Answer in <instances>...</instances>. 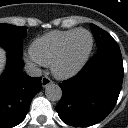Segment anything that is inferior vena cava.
I'll return each mask as SVG.
<instances>
[{"label": "inferior vena cava", "mask_w": 128, "mask_h": 128, "mask_svg": "<svg viewBox=\"0 0 128 128\" xmlns=\"http://www.w3.org/2000/svg\"><path fill=\"white\" fill-rule=\"evenodd\" d=\"M24 69L27 75L31 77H40L42 75V70L38 68L34 63H27Z\"/></svg>", "instance_id": "1"}]
</instances>
